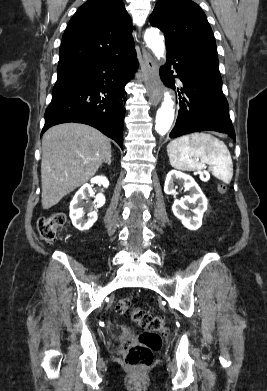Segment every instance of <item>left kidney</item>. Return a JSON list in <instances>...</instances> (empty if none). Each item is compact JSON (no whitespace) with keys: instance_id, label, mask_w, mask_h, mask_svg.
<instances>
[{"instance_id":"5707ae66","label":"left kidney","mask_w":267,"mask_h":391,"mask_svg":"<svg viewBox=\"0 0 267 391\" xmlns=\"http://www.w3.org/2000/svg\"><path fill=\"white\" fill-rule=\"evenodd\" d=\"M178 180L183 181L185 190L190 191V196H186L180 200L175 199L172 205V211L187 229L197 230L202 225L203 214L207 210V198L190 175L176 170H171L167 174L164 192L169 195L175 194L174 183ZM188 203L194 206L192 210L193 215L185 212L188 209Z\"/></svg>"}]
</instances>
